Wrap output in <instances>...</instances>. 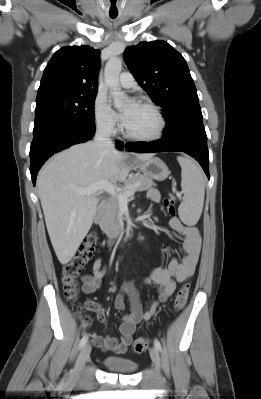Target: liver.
<instances>
[{
	"mask_svg": "<svg viewBox=\"0 0 261 399\" xmlns=\"http://www.w3.org/2000/svg\"><path fill=\"white\" fill-rule=\"evenodd\" d=\"M134 155L140 161L153 157L152 153ZM125 159L126 154L89 141L56 154L40 171L38 194L61 264H67L75 255L92 226L99 201L95 194H79L75 188H86L102 180L124 181L131 170Z\"/></svg>",
	"mask_w": 261,
	"mask_h": 399,
	"instance_id": "liver-1",
	"label": "liver"
}]
</instances>
